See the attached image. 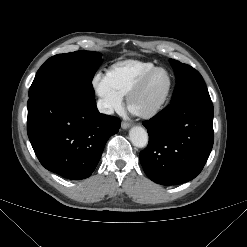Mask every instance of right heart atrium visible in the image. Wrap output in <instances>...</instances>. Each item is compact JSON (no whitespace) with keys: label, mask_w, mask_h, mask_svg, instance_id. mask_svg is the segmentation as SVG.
I'll return each instance as SVG.
<instances>
[{"label":"right heart atrium","mask_w":247,"mask_h":247,"mask_svg":"<svg viewBox=\"0 0 247 247\" xmlns=\"http://www.w3.org/2000/svg\"><path fill=\"white\" fill-rule=\"evenodd\" d=\"M92 83L106 114H112L122 108L123 98L113 89L107 74H96Z\"/></svg>","instance_id":"d8ad5b80"}]
</instances>
